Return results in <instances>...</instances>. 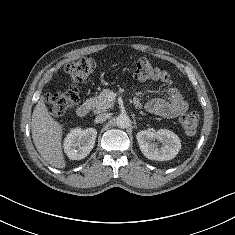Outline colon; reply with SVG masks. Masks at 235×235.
Returning a JSON list of instances; mask_svg holds the SVG:
<instances>
[{"label":"colon","mask_w":235,"mask_h":235,"mask_svg":"<svg viewBox=\"0 0 235 235\" xmlns=\"http://www.w3.org/2000/svg\"><path fill=\"white\" fill-rule=\"evenodd\" d=\"M96 69V62L91 57H82L77 61L68 63L66 72L72 77L74 85L66 91H58L46 96L49 112L53 117L64 115L79 101L77 83L83 82ZM131 72L139 81H157L166 86L172 82L167 72L153 66L146 58H137L132 62ZM180 125L188 135H194L199 126V115L189 112L180 117Z\"/></svg>","instance_id":"colon-1"}]
</instances>
